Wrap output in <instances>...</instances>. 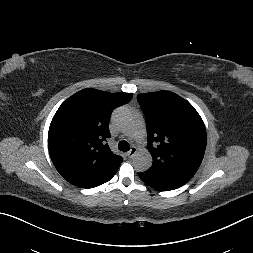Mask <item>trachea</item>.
Here are the masks:
<instances>
[{"mask_svg": "<svg viewBox=\"0 0 253 253\" xmlns=\"http://www.w3.org/2000/svg\"><path fill=\"white\" fill-rule=\"evenodd\" d=\"M118 149L120 151L126 152L130 150V145L127 141H120L118 144Z\"/></svg>", "mask_w": 253, "mask_h": 253, "instance_id": "obj_1", "label": "trachea"}]
</instances>
